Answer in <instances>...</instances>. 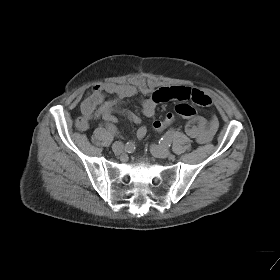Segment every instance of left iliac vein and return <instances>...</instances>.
<instances>
[{"instance_id":"left-iliac-vein-1","label":"left iliac vein","mask_w":280,"mask_h":280,"mask_svg":"<svg viewBox=\"0 0 280 280\" xmlns=\"http://www.w3.org/2000/svg\"><path fill=\"white\" fill-rule=\"evenodd\" d=\"M151 152L154 156L158 158H167L170 156V151L166 147L159 146L156 144H153L151 146Z\"/></svg>"}]
</instances>
